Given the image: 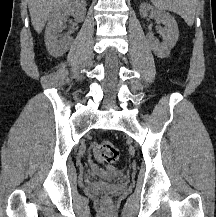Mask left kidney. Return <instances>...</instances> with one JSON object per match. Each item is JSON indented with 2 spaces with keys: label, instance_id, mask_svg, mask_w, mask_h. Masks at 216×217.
Listing matches in <instances>:
<instances>
[{
  "label": "left kidney",
  "instance_id": "1",
  "mask_svg": "<svg viewBox=\"0 0 216 217\" xmlns=\"http://www.w3.org/2000/svg\"><path fill=\"white\" fill-rule=\"evenodd\" d=\"M148 12H151L155 19L165 26L163 28L165 36L162 43H158L152 33L148 34V42L154 54L160 58H165L169 55L179 38L177 22L169 13L153 8L147 3H142L140 5V15L145 18L148 16Z\"/></svg>",
  "mask_w": 216,
  "mask_h": 217
}]
</instances>
